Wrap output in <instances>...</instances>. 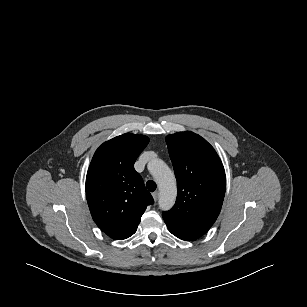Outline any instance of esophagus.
Returning a JSON list of instances; mask_svg holds the SVG:
<instances>
[{
	"label": "esophagus",
	"instance_id": "34e87169",
	"mask_svg": "<svg viewBox=\"0 0 307 307\" xmlns=\"http://www.w3.org/2000/svg\"><path fill=\"white\" fill-rule=\"evenodd\" d=\"M152 196H153V198H154V201H157V200H158L159 193H158V192H154V193H152Z\"/></svg>",
	"mask_w": 307,
	"mask_h": 307
}]
</instances>
